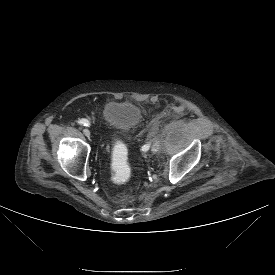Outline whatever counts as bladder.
I'll list each match as a JSON object with an SVG mask.
<instances>
[{
    "label": "bladder",
    "instance_id": "obj_1",
    "mask_svg": "<svg viewBox=\"0 0 275 275\" xmlns=\"http://www.w3.org/2000/svg\"><path fill=\"white\" fill-rule=\"evenodd\" d=\"M101 119L108 127L122 133H128L141 122V109L130 101L113 100L104 105L101 111Z\"/></svg>",
    "mask_w": 275,
    "mask_h": 275
}]
</instances>
